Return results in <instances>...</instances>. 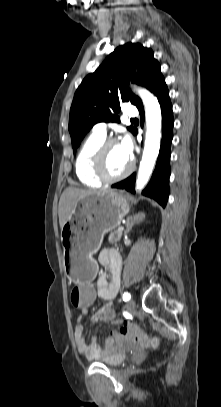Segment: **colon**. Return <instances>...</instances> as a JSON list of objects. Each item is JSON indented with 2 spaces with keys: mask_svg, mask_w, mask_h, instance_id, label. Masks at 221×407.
<instances>
[{
  "mask_svg": "<svg viewBox=\"0 0 221 407\" xmlns=\"http://www.w3.org/2000/svg\"><path fill=\"white\" fill-rule=\"evenodd\" d=\"M97 294L94 283H72L71 306H75L77 311H89L94 304ZM114 305H106L102 319L104 322L116 320ZM123 335L129 334L136 342L145 349H154L159 344V338L148 336L146 333L136 329L123 326L120 329Z\"/></svg>",
  "mask_w": 221,
  "mask_h": 407,
  "instance_id": "5ec220e1",
  "label": "colon"
}]
</instances>
